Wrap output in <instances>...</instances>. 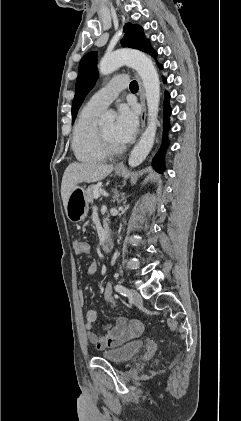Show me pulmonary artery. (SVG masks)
<instances>
[{
  "label": "pulmonary artery",
  "instance_id": "pulmonary-artery-1",
  "mask_svg": "<svg viewBox=\"0 0 241 421\" xmlns=\"http://www.w3.org/2000/svg\"><path fill=\"white\" fill-rule=\"evenodd\" d=\"M128 86V79L126 76H118L112 79L105 87L97 91L91 96L87 102L90 108L103 111L119 93Z\"/></svg>",
  "mask_w": 241,
  "mask_h": 421
}]
</instances>
